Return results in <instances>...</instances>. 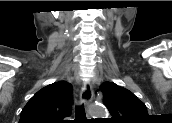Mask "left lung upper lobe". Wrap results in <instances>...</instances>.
I'll list each match as a JSON object with an SVG mask.
<instances>
[{
    "mask_svg": "<svg viewBox=\"0 0 172 123\" xmlns=\"http://www.w3.org/2000/svg\"><path fill=\"white\" fill-rule=\"evenodd\" d=\"M103 103L108 108L113 123H138L148 118L145 104L131 91L113 82H104L100 86Z\"/></svg>",
    "mask_w": 172,
    "mask_h": 123,
    "instance_id": "obj_1",
    "label": "left lung upper lobe"
}]
</instances>
